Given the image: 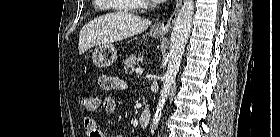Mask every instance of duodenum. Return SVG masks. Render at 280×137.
<instances>
[{
  "label": "duodenum",
  "instance_id": "duodenum-1",
  "mask_svg": "<svg viewBox=\"0 0 280 137\" xmlns=\"http://www.w3.org/2000/svg\"><path fill=\"white\" fill-rule=\"evenodd\" d=\"M151 112L148 108L144 109L139 115V125L141 128H147L151 122Z\"/></svg>",
  "mask_w": 280,
  "mask_h": 137
}]
</instances>
